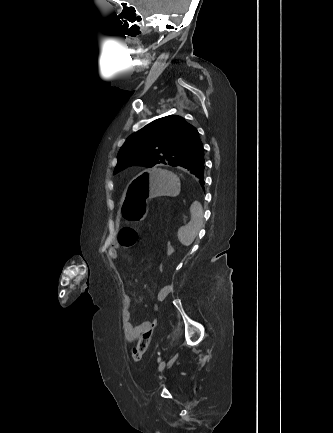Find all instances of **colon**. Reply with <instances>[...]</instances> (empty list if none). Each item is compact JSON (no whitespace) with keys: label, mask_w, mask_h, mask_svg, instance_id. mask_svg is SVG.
Listing matches in <instances>:
<instances>
[{"label":"colon","mask_w":333,"mask_h":433,"mask_svg":"<svg viewBox=\"0 0 333 433\" xmlns=\"http://www.w3.org/2000/svg\"><path fill=\"white\" fill-rule=\"evenodd\" d=\"M138 240H139L138 233L132 227L129 226L123 227L118 233V242L121 247L124 248L133 247L137 244ZM166 252H167L166 255L167 258L169 259L172 258L173 256L172 254L175 252V249L173 248L172 244L168 245ZM157 325H158L157 315H154V319L151 320L150 330L145 331L140 336L136 346L132 349V359L135 362L141 361L150 343L153 330L156 329Z\"/></svg>","instance_id":"5ec220e1"}]
</instances>
